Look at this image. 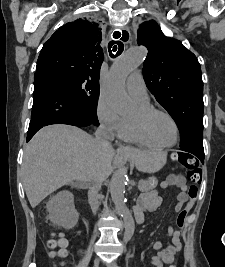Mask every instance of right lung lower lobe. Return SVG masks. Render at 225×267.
<instances>
[{"instance_id":"obj_1","label":"right lung lower lobe","mask_w":225,"mask_h":267,"mask_svg":"<svg viewBox=\"0 0 225 267\" xmlns=\"http://www.w3.org/2000/svg\"><path fill=\"white\" fill-rule=\"evenodd\" d=\"M68 124L78 127L96 125L70 91L55 77L35 72L33 106L27 141L43 126Z\"/></svg>"}]
</instances>
